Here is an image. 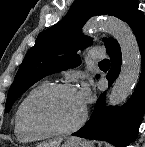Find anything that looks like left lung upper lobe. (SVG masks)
Instances as JSON below:
<instances>
[{"mask_svg": "<svg viewBox=\"0 0 145 147\" xmlns=\"http://www.w3.org/2000/svg\"><path fill=\"white\" fill-rule=\"evenodd\" d=\"M131 0H75L67 15L56 25L40 33L35 45L26 54L12 83L5 111L9 112L14 102L33 84L43 77L74 68L81 63L76 54L92 44L81 33L85 22L96 15H113L123 20ZM114 40L105 41L106 48Z\"/></svg>", "mask_w": 145, "mask_h": 147, "instance_id": "5c2ea615", "label": "left lung upper lobe"}]
</instances>
